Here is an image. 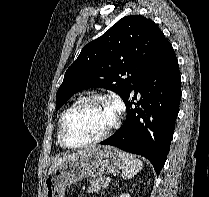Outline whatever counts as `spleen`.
Returning a JSON list of instances; mask_svg holds the SVG:
<instances>
[{"label": "spleen", "mask_w": 209, "mask_h": 197, "mask_svg": "<svg viewBox=\"0 0 209 197\" xmlns=\"http://www.w3.org/2000/svg\"><path fill=\"white\" fill-rule=\"evenodd\" d=\"M121 157L123 160V167H122L123 179H129L134 177L143 168L142 161L131 154H128L126 152H121Z\"/></svg>", "instance_id": "spleen-1"}]
</instances>
